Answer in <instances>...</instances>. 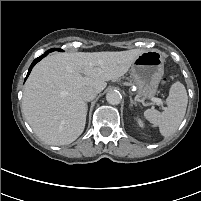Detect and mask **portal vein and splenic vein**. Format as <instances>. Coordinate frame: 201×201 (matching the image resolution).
Segmentation results:
<instances>
[{"label": "portal vein and splenic vein", "mask_w": 201, "mask_h": 201, "mask_svg": "<svg viewBox=\"0 0 201 201\" xmlns=\"http://www.w3.org/2000/svg\"><path fill=\"white\" fill-rule=\"evenodd\" d=\"M153 102L160 104V105H163V101L159 98H153Z\"/></svg>", "instance_id": "obj_1"}]
</instances>
